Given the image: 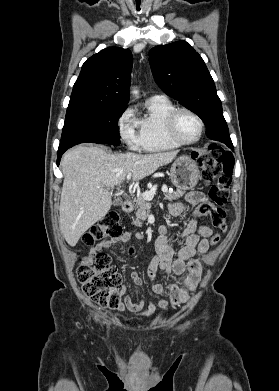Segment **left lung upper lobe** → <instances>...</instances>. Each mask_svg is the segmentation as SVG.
Here are the masks:
<instances>
[{"instance_id": "left-lung-upper-lobe-1", "label": "left lung upper lobe", "mask_w": 279, "mask_h": 391, "mask_svg": "<svg viewBox=\"0 0 279 391\" xmlns=\"http://www.w3.org/2000/svg\"><path fill=\"white\" fill-rule=\"evenodd\" d=\"M149 60L159 87L203 120L208 138L233 147L214 81L200 55L178 41L152 48Z\"/></svg>"}]
</instances>
